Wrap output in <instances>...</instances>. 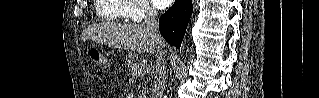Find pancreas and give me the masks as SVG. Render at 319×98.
I'll list each match as a JSON object with an SVG mask.
<instances>
[{"label": "pancreas", "mask_w": 319, "mask_h": 98, "mask_svg": "<svg viewBox=\"0 0 319 98\" xmlns=\"http://www.w3.org/2000/svg\"><path fill=\"white\" fill-rule=\"evenodd\" d=\"M137 58H138V55L135 54V53H129V54L126 56V59L129 60V62H133V63L136 62ZM137 65H139V68L143 71V72L141 73L142 75H145V74L148 72V69H147L145 66H141L140 64H137ZM131 72H132V74H136V75L138 74V72L136 73V72H134L133 70H132ZM138 75H139V74H138Z\"/></svg>", "instance_id": "cf45deb5"}]
</instances>
